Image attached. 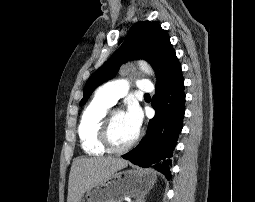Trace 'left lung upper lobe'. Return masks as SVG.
<instances>
[{"instance_id":"1","label":"left lung upper lobe","mask_w":255,"mask_h":202,"mask_svg":"<svg viewBox=\"0 0 255 202\" xmlns=\"http://www.w3.org/2000/svg\"><path fill=\"white\" fill-rule=\"evenodd\" d=\"M128 59H145L152 65L157 78L156 89L165 87L182 72L166 31L158 22L140 21L130 28L120 48L90 76L80 106L99 85L113 78Z\"/></svg>"}]
</instances>
